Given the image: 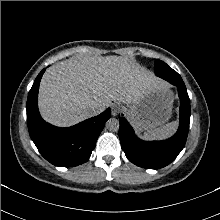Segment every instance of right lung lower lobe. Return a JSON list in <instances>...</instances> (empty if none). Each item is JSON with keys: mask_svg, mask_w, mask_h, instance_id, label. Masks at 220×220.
<instances>
[{"mask_svg": "<svg viewBox=\"0 0 220 220\" xmlns=\"http://www.w3.org/2000/svg\"><path fill=\"white\" fill-rule=\"evenodd\" d=\"M45 68L35 79L27 99V125L30 137L41 155L55 166L73 167L86 162L95 148L97 138L111 116L108 108L98 116L69 128L45 122L38 111L37 97Z\"/></svg>", "mask_w": 220, "mask_h": 220, "instance_id": "1", "label": "right lung lower lobe"}]
</instances>
